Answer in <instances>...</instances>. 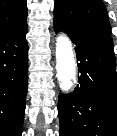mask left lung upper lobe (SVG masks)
Returning a JSON list of instances; mask_svg holds the SVG:
<instances>
[{"label":"left lung upper lobe","mask_w":117,"mask_h":136,"mask_svg":"<svg viewBox=\"0 0 117 136\" xmlns=\"http://www.w3.org/2000/svg\"><path fill=\"white\" fill-rule=\"evenodd\" d=\"M54 17L89 31L107 35L111 32L102 0H56Z\"/></svg>","instance_id":"left-lung-upper-lobe-1"}]
</instances>
